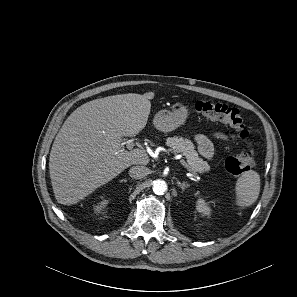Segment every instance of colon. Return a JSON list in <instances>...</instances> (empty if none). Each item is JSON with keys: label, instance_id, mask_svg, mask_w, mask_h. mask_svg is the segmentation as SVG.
I'll return each instance as SVG.
<instances>
[{"label": "colon", "instance_id": "5ec220e1", "mask_svg": "<svg viewBox=\"0 0 297 297\" xmlns=\"http://www.w3.org/2000/svg\"><path fill=\"white\" fill-rule=\"evenodd\" d=\"M195 111L207 119L220 120L231 126L239 137L247 143L248 150L237 156H230L225 161L227 171L234 176H241L251 170L255 163L254 148L249 141L242 113L226 104L199 100L195 103Z\"/></svg>", "mask_w": 297, "mask_h": 297}]
</instances>
